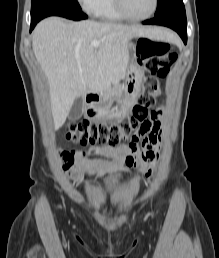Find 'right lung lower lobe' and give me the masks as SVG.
I'll use <instances>...</instances> for the list:
<instances>
[{"label": "right lung lower lobe", "instance_id": "right-lung-lower-lobe-1", "mask_svg": "<svg viewBox=\"0 0 219 258\" xmlns=\"http://www.w3.org/2000/svg\"><path fill=\"white\" fill-rule=\"evenodd\" d=\"M48 16H61L72 20H83L87 19L88 16L82 12V10L77 9L76 7H68V6H55L43 11L36 18L31 19L30 32L33 30L35 25Z\"/></svg>", "mask_w": 219, "mask_h": 258}]
</instances>
